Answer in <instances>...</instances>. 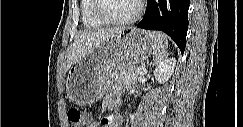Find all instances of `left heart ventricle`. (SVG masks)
I'll use <instances>...</instances> for the list:
<instances>
[{"label":"left heart ventricle","mask_w":243,"mask_h":127,"mask_svg":"<svg viewBox=\"0 0 243 127\" xmlns=\"http://www.w3.org/2000/svg\"><path fill=\"white\" fill-rule=\"evenodd\" d=\"M104 13L115 19L132 15L136 9V0H102Z\"/></svg>","instance_id":"b2bd125f"}]
</instances>
